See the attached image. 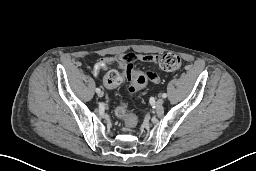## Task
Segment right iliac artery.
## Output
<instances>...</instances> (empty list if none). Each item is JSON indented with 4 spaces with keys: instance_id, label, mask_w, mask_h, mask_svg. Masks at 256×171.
Returning a JSON list of instances; mask_svg holds the SVG:
<instances>
[{
    "instance_id": "obj_1",
    "label": "right iliac artery",
    "mask_w": 256,
    "mask_h": 171,
    "mask_svg": "<svg viewBox=\"0 0 256 171\" xmlns=\"http://www.w3.org/2000/svg\"><path fill=\"white\" fill-rule=\"evenodd\" d=\"M101 90L99 88H96V92L99 93Z\"/></svg>"
}]
</instances>
